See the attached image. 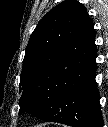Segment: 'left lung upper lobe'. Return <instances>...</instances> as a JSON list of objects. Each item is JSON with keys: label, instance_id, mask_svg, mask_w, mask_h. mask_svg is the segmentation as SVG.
<instances>
[{"label": "left lung upper lobe", "instance_id": "5c2ea615", "mask_svg": "<svg viewBox=\"0 0 108 127\" xmlns=\"http://www.w3.org/2000/svg\"><path fill=\"white\" fill-rule=\"evenodd\" d=\"M87 16L86 8L66 0L51 9L38 23L26 48L20 76V113H40L53 100L61 84L64 57Z\"/></svg>", "mask_w": 108, "mask_h": 127}]
</instances>
